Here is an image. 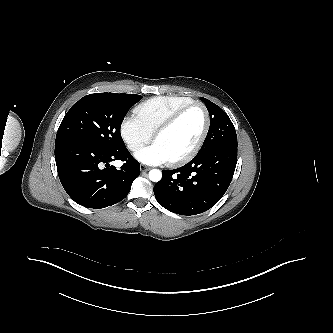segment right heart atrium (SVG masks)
I'll list each match as a JSON object with an SVG mask.
<instances>
[{
	"label": "right heart atrium",
	"instance_id": "obj_1",
	"mask_svg": "<svg viewBox=\"0 0 333 333\" xmlns=\"http://www.w3.org/2000/svg\"><path fill=\"white\" fill-rule=\"evenodd\" d=\"M120 134L127 148L136 152L152 138L150 132L136 115L125 116L120 124Z\"/></svg>",
	"mask_w": 333,
	"mask_h": 333
}]
</instances>
